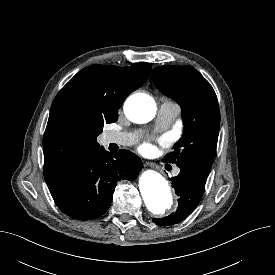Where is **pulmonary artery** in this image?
Listing matches in <instances>:
<instances>
[{
    "label": "pulmonary artery",
    "instance_id": "pulmonary-artery-1",
    "mask_svg": "<svg viewBox=\"0 0 275 275\" xmlns=\"http://www.w3.org/2000/svg\"><path fill=\"white\" fill-rule=\"evenodd\" d=\"M180 113V108L177 104L165 100L161 103L157 114L156 127L159 130L167 129L177 118ZM134 142V137L131 134L124 132H109L105 136V143L118 145H131ZM180 170L176 168L174 175H178Z\"/></svg>",
    "mask_w": 275,
    "mask_h": 275
}]
</instances>
